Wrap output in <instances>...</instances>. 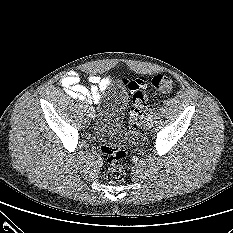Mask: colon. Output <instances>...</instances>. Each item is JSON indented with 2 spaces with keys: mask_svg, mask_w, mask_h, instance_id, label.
Segmentation results:
<instances>
[{
  "mask_svg": "<svg viewBox=\"0 0 233 233\" xmlns=\"http://www.w3.org/2000/svg\"><path fill=\"white\" fill-rule=\"evenodd\" d=\"M151 84L155 90L163 94H169L173 90V81L165 75L154 76ZM130 90H132L133 95L129 119L133 131H137L147 109L148 98L142 86L138 83L133 84ZM101 150L106 155L107 179L112 183L123 181L126 175L124 164L127 153L122 148L114 145H103Z\"/></svg>",
  "mask_w": 233,
  "mask_h": 233,
  "instance_id": "obj_1",
  "label": "colon"
}]
</instances>
